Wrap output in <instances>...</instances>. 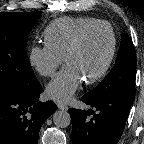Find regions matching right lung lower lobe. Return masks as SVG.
Wrapping results in <instances>:
<instances>
[{
	"mask_svg": "<svg viewBox=\"0 0 144 144\" xmlns=\"http://www.w3.org/2000/svg\"><path fill=\"white\" fill-rule=\"evenodd\" d=\"M42 86L27 90L0 88V144H38L42 124L56 105L39 102Z\"/></svg>",
	"mask_w": 144,
	"mask_h": 144,
	"instance_id": "1",
	"label": "right lung lower lobe"
}]
</instances>
